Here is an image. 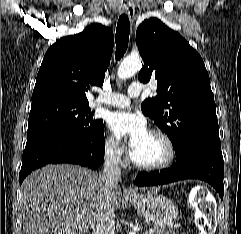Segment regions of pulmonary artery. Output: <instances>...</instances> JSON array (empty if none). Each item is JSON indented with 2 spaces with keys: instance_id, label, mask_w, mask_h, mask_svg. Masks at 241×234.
<instances>
[{
  "instance_id": "obj_1",
  "label": "pulmonary artery",
  "mask_w": 241,
  "mask_h": 234,
  "mask_svg": "<svg viewBox=\"0 0 241 234\" xmlns=\"http://www.w3.org/2000/svg\"><path fill=\"white\" fill-rule=\"evenodd\" d=\"M143 91V86L138 83H132L129 88L127 95L121 93H104L98 97L95 101L96 105H108L113 107H127L130 105L131 98L138 97Z\"/></svg>"
}]
</instances>
